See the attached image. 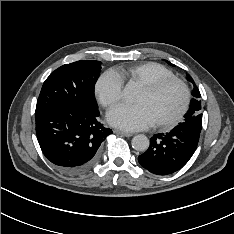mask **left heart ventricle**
Listing matches in <instances>:
<instances>
[{
	"label": "left heart ventricle",
	"instance_id": "obj_1",
	"mask_svg": "<svg viewBox=\"0 0 234 234\" xmlns=\"http://www.w3.org/2000/svg\"><path fill=\"white\" fill-rule=\"evenodd\" d=\"M182 99L181 88L169 85L153 95H147L140 89L134 102L143 105L155 123L174 115L181 106Z\"/></svg>",
	"mask_w": 234,
	"mask_h": 234
}]
</instances>
